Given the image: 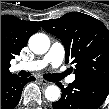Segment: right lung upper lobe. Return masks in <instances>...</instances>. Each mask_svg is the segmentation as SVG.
I'll return each instance as SVG.
<instances>
[{
  "instance_id": "1",
  "label": "right lung upper lobe",
  "mask_w": 109,
  "mask_h": 109,
  "mask_svg": "<svg viewBox=\"0 0 109 109\" xmlns=\"http://www.w3.org/2000/svg\"><path fill=\"white\" fill-rule=\"evenodd\" d=\"M40 25L36 21L20 20L13 15L1 16V78L11 75L10 61L27 44Z\"/></svg>"
}]
</instances>
